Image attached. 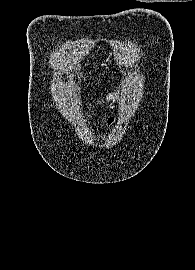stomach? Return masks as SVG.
Returning <instances> with one entry per match:
<instances>
[{
	"mask_svg": "<svg viewBox=\"0 0 195 270\" xmlns=\"http://www.w3.org/2000/svg\"><path fill=\"white\" fill-rule=\"evenodd\" d=\"M107 99H108V100L114 101V100H115L114 94H110V95L107 97Z\"/></svg>",
	"mask_w": 195,
	"mask_h": 270,
	"instance_id": "obj_1",
	"label": "stomach"
}]
</instances>
